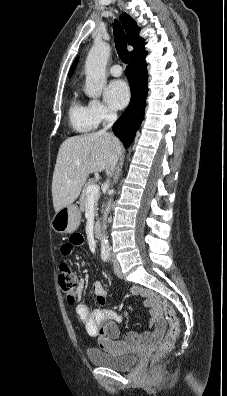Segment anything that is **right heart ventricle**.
I'll use <instances>...</instances> for the list:
<instances>
[{
    "label": "right heart ventricle",
    "instance_id": "right-heart-ventricle-1",
    "mask_svg": "<svg viewBox=\"0 0 227 396\" xmlns=\"http://www.w3.org/2000/svg\"><path fill=\"white\" fill-rule=\"evenodd\" d=\"M69 121L72 128L79 133L90 132L97 126L89 113L88 106L84 105L77 97H74L70 104Z\"/></svg>",
    "mask_w": 227,
    "mask_h": 396
}]
</instances>
